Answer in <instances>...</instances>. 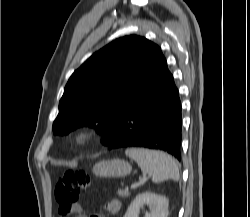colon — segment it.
Instances as JSON below:
<instances>
[{
  "mask_svg": "<svg viewBox=\"0 0 250 217\" xmlns=\"http://www.w3.org/2000/svg\"><path fill=\"white\" fill-rule=\"evenodd\" d=\"M90 185V176L84 171L68 170L62 173L55 184V198L60 209L65 212L79 205L82 191Z\"/></svg>",
  "mask_w": 250,
  "mask_h": 217,
  "instance_id": "colon-1",
  "label": "colon"
}]
</instances>
